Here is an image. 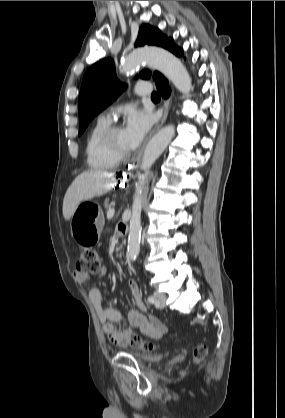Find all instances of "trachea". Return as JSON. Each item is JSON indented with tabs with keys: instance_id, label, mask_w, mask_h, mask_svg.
Segmentation results:
<instances>
[{
	"instance_id": "1",
	"label": "trachea",
	"mask_w": 285,
	"mask_h": 418,
	"mask_svg": "<svg viewBox=\"0 0 285 418\" xmlns=\"http://www.w3.org/2000/svg\"><path fill=\"white\" fill-rule=\"evenodd\" d=\"M152 98H160L159 94L153 92L151 95Z\"/></svg>"
}]
</instances>
